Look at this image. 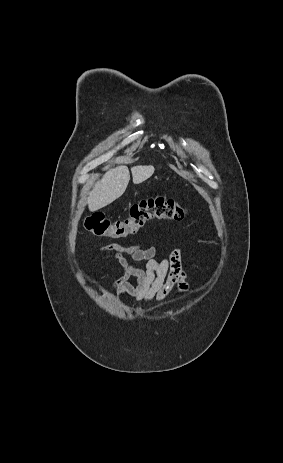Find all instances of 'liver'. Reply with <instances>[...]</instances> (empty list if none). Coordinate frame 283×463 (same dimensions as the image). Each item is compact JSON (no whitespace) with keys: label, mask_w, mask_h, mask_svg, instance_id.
<instances>
[{"label":"liver","mask_w":283,"mask_h":463,"mask_svg":"<svg viewBox=\"0 0 283 463\" xmlns=\"http://www.w3.org/2000/svg\"><path fill=\"white\" fill-rule=\"evenodd\" d=\"M155 169L153 166H134L131 168L133 183L139 184L150 178ZM130 180L129 169L118 166L105 173L89 194L88 208L91 212L97 211L118 199L125 192Z\"/></svg>","instance_id":"obj_1"}]
</instances>
